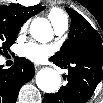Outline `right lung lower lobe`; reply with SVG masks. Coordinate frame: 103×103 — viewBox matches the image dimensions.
<instances>
[{"label":"right lung lower lobe","instance_id":"98d812e1","mask_svg":"<svg viewBox=\"0 0 103 103\" xmlns=\"http://www.w3.org/2000/svg\"><path fill=\"white\" fill-rule=\"evenodd\" d=\"M33 76L34 65L25 58L17 59L9 69L0 65V103H15L21 86Z\"/></svg>","mask_w":103,"mask_h":103}]
</instances>
